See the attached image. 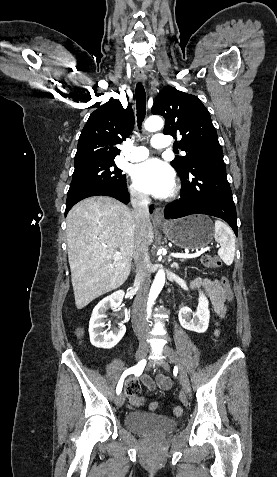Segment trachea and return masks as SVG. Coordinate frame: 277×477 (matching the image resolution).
Returning <instances> with one entry per match:
<instances>
[{"label":"trachea","mask_w":277,"mask_h":477,"mask_svg":"<svg viewBox=\"0 0 277 477\" xmlns=\"http://www.w3.org/2000/svg\"><path fill=\"white\" fill-rule=\"evenodd\" d=\"M136 106H137V123L141 127L146 114V94L143 85L138 82L136 85Z\"/></svg>","instance_id":"trachea-1"}]
</instances>
